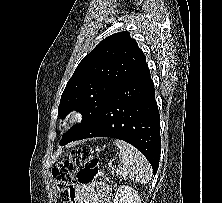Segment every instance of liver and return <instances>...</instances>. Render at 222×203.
I'll return each instance as SVG.
<instances>
[{
	"label": "liver",
	"mask_w": 222,
	"mask_h": 203,
	"mask_svg": "<svg viewBox=\"0 0 222 203\" xmlns=\"http://www.w3.org/2000/svg\"><path fill=\"white\" fill-rule=\"evenodd\" d=\"M59 154H60V151H58V152L56 153L55 159L59 156Z\"/></svg>",
	"instance_id": "liver-1"
}]
</instances>
